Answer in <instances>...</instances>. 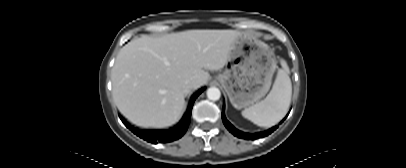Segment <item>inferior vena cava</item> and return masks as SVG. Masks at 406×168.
Returning <instances> with one entry per match:
<instances>
[{
	"label": "inferior vena cava",
	"mask_w": 406,
	"mask_h": 168,
	"mask_svg": "<svg viewBox=\"0 0 406 168\" xmlns=\"http://www.w3.org/2000/svg\"><path fill=\"white\" fill-rule=\"evenodd\" d=\"M192 88H193V82L192 81H187L185 84H184V92L187 94V93H189L191 90H192Z\"/></svg>",
	"instance_id": "obj_1"
}]
</instances>
